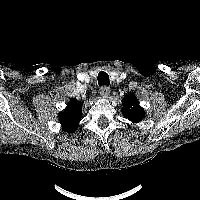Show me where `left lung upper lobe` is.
I'll use <instances>...</instances> for the list:
<instances>
[{"label": "left lung upper lobe", "instance_id": "5c2ea615", "mask_svg": "<svg viewBox=\"0 0 200 200\" xmlns=\"http://www.w3.org/2000/svg\"><path fill=\"white\" fill-rule=\"evenodd\" d=\"M122 112L127 119L134 123L141 121L145 116L143 108L139 105L137 98L132 93L127 94L123 99Z\"/></svg>", "mask_w": 200, "mask_h": 200}]
</instances>
